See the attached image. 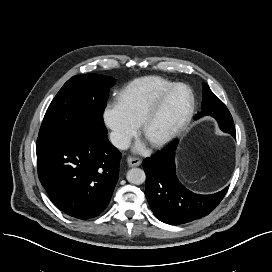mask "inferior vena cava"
Returning a JSON list of instances; mask_svg holds the SVG:
<instances>
[{
  "label": "inferior vena cava",
  "instance_id": "1",
  "mask_svg": "<svg viewBox=\"0 0 272 272\" xmlns=\"http://www.w3.org/2000/svg\"><path fill=\"white\" fill-rule=\"evenodd\" d=\"M110 141L115 147L122 150L127 149L130 145V138L118 132H112L110 134Z\"/></svg>",
  "mask_w": 272,
  "mask_h": 272
}]
</instances>
